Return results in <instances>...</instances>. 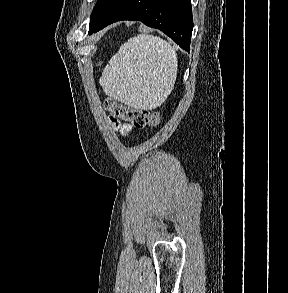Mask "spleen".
Returning <instances> with one entry per match:
<instances>
[{
    "label": "spleen",
    "mask_w": 288,
    "mask_h": 293,
    "mask_svg": "<svg viewBox=\"0 0 288 293\" xmlns=\"http://www.w3.org/2000/svg\"><path fill=\"white\" fill-rule=\"evenodd\" d=\"M177 54L160 37L140 34L124 43L105 67L100 84L106 95L138 108L161 105L174 88Z\"/></svg>",
    "instance_id": "3e777b00"
}]
</instances>
